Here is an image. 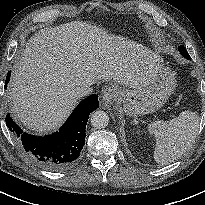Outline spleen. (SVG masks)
I'll return each mask as SVG.
<instances>
[{
    "label": "spleen",
    "instance_id": "1",
    "mask_svg": "<svg viewBox=\"0 0 205 205\" xmlns=\"http://www.w3.org/2000/svg\"><path fill=\"white\" fill-rule=\"evenodd\" d=\"M199 128L196 112L183 111L170 121H155L148 126L155 137L154 159L167 165L182 156L194 142Z\"/></svg>",
    "mask_w": 205,
    "mask_h": 205
}]
</instances>
